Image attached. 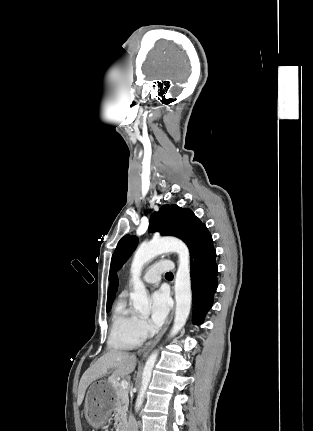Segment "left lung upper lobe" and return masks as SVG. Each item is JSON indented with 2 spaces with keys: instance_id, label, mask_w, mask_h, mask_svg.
Listing matches in <instances>:
<instances>
[{
  "instance_id": "5c2ea615",
  "label": "left lung upper lobe",
  "mask_w": 313,
  "mask_h": 431,
  "mask_svg": "<svg viewBox=\"0 0 313 431\" xmlns=\"http://www.w3.org/2000/svg\"><path fill=\"white\" fill-rule=\"evenodd\" d=\"M194 213L177 205H164L150 217L149 231H160L162 235L176 236L182 239L191 250L200 232L205 228ZM138 240L129 234L120 239L112 255L110 271H116L135 250Z\"/></svg>"
}]
</instances>
